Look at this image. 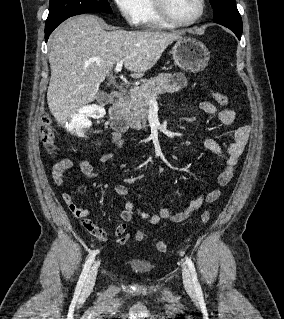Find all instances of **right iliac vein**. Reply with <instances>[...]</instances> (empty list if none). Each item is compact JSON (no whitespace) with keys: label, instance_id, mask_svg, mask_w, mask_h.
I'll use <instances>...</instances> for the list:
<instances>
[{"label":"right iliac vein","instance_id":"1","mask_svg":"<svg viewBox=\"0 0 284 319\" xmlns=\"http://www.w3.org/2000/svg\"><path fill=\"white\" fill-rule=\"evenodd\" d=\"M98 265H99V262H96L89 271V274L86 278L84 288H83V292L85 294L90 293L94 287L96 277H97V272H98Z\"/></svg>","mask_w":284,"mask_h":319}]
</instances>
